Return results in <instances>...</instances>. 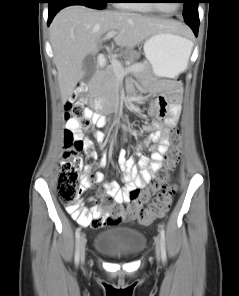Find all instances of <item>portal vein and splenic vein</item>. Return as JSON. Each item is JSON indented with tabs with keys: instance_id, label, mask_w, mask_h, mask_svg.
Segmentation results:
<instances>
[{
	"instance_id": "18ae733b",
	"label": "portal vein and splenic vein",
	"mask_w": 239,
	"mask_h": 296,
	"mask_svg": "<svg viewBox=\"0 0 239 296\" xmlns=\"http://www.w3.org/2000/svg\"><path fill=\"white\" fill-rule=\"evenodd\" d=\"M116 34H117L116 31H110L105 35L104 40L106 41L114 37ZM109 58H110L111 66L113 67L114 72L117 76H124L132 72L141 71L143 69V67L140 65H131L127 68H123L121 63L116 59V57L110 56Z\"/></svg>"
}]
</instances>
